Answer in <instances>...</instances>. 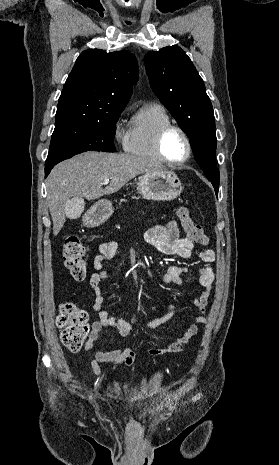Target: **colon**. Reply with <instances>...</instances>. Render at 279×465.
<instances>
[{
  "mask_svg": "<svg viewBox=\"0 0 279 465\" xmlns=\"http://www.w3.org/2000/svg\"><path fill=\"white\" fill-rule=\"evenodd\" d=\"M177 216L190 240L202 245L209 243L202 226L191 218L186 207H179ZM84 254L85 248L78 236L71 235L65 239L62 249L64 265L72 277L78 281L85 279L87 276ZM57 325L60 328L61 341L64 346L73 352L80 350L89 332L86 312L73 303H61L57 316Z\"/></svg>",
  "mask_w": 279,
  "mask_h": 465,
  "instance_id": "colon-1",
  "label": "colon"
}]
</instances>
